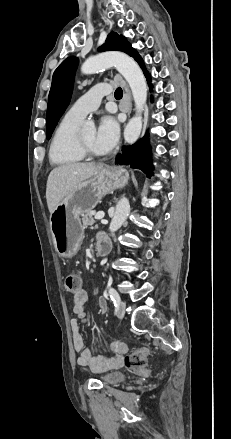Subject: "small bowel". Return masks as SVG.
Here are the masks:
<instances>
[{
    "mask_svg": "<svg viewBox=\"0 0 231 439\" xmlns=\"http://www.w3.org/2000/svg\"><path fill=\"white\" fill-rule=\"evenodd\" d=\"M105 236H100V238ZM76 295H73L74 307L73 312L76 318L70 322L73 338V346L75 352L78 354L77 363L82 367H88L93 372H102L109 369L117 368L122 365L123 354L127 351V346L122 341H114L110 344L114 351L112 356L97 355L93 356L91 351L84 346L83 337L79 331L80 323L86 321V313L84 305L90 297V290L84 286H78ZM98 314H105L107 312V302L104 297L97 300Z\"/></svg>",
    "mask_w": 231,
    "mask_h": 439,
    "instance_id": "c3829d8e",
    "label": "small bowel"
}]
</instances>
